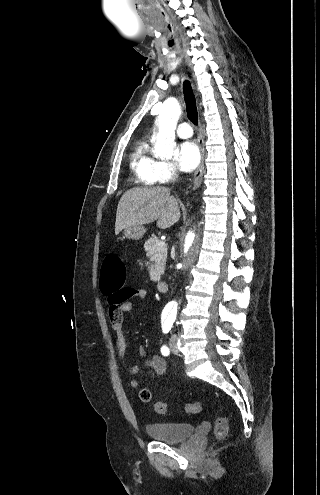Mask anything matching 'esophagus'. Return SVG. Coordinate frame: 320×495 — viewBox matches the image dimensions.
Returning a JSON list of instances; mask_svg holds the SVG:
<instances>
[{
	"instance_id": "1",
	"label": "esophagus",
	"mask_w": 320,
	"mask_h": 495,
	"mask_svg": "<svg viewBox=\"0 0 320 495\" xmlns=\"http://www.w3.org/2000/svg\"><path fill=\"white\" fill-rule=\"evenodd\" d=\"M199 144H200V149H201V162L199 164V167L197 168L195 174H194V185L193 188H197L200 186L202 182V177L204 173V140H203V135L199 134Z\"/></svg>"
}]
</instances>
